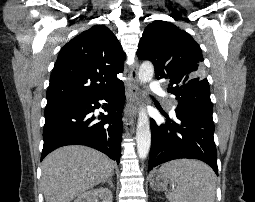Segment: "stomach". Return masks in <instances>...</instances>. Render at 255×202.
<instances>
[{"label": "stomach", "mask_w": 255, "mask_h": 202, "mask_svg": "<svg viewBox=\"0 0 255 202\" xmlns=\"http://www.w3.org/2000/svg\"><path fill=\"white\" fill-rule=\"evenodd\" d=\"M150 186L155 191H164L167 190V187L170 183V180L162 175L160 171H154L149 176Z\"/></svg>", "instance_id": "1"}]
</instances>
